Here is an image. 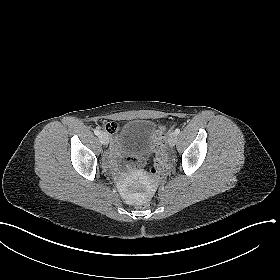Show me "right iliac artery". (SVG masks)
I'll list each match as a JSON object with an SVG mask.
<instances>
[{
  "mask_svg": "<svg viewBox=\"0 0 280 280\" xmlns=\"http://www.w3.org/2000/svg\"><path fill=\"white\" fill-rule=\"evenodd\" d=\"M95 135L99 136L100 135V131L98 129L94 130Z\"/></svg>",
  "mask_w": 280,
  "mask_h": 280,
  "instance_id": "right-iliac-artery-1",
  "label": "right iliac artery"
}]
</instances>
